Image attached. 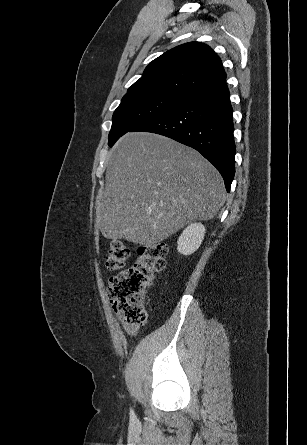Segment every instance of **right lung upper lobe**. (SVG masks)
<instances>
[{
	"instance_id": "right-lung-upper-lobe-1",
	"label": "right lung upper lobe",
	"mask_w": 307,
	"mask_h": 445,
	"mask_svg": "<svg viewBox=\"0 0 307 445\" xmlns=\"http://www.w3.org/2000/svg\"><path fill=\"white\" fill-rule=\"evenodd\" d=\"M220 58L207 45L190 42L153 60L125 96L165 95L187 99L224 81Z\"/></svg>"
}]
</instances>
